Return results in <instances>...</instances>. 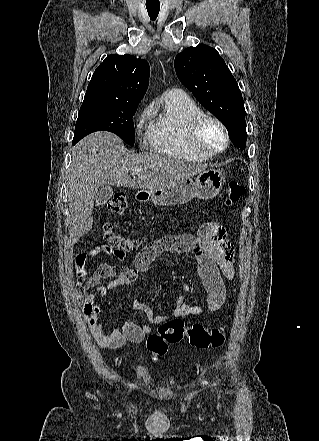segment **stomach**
Masks as SVG:
<instances>
[{
	"instance_id": "1",
	"label": "stomach",
	"mask_w": 319,
	"mask_h": 441,
	"mask_svg": "<svg viewBox=\"0 0 319 441\" xmlns=\"http://www.w3.org/2000/svg\"><path fill=\"white\" fill-rule=\"evenodd\" d=\"M225 183V175L217 169H204L195 180L186 179L180 183L147 193L151 201L156 205L170 206L186 204L193 198L212 199L222 189Z\"/></svg>"
}]
</instances>
